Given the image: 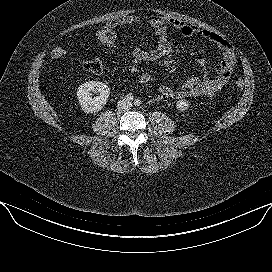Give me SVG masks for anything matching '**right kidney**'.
<instances>
[{
    "label": "right kidney",
    "instance_id": "1",
    "mask_svg": "<svg viewBox=\"0 0 272 272\" xmlns=\"http://www.w3.org/2000/svg\"><path fill=\"white\" fill-rule=\"evenodd\" d=\"M92 92L98 95L93 97ZM109 95V87L99 81L86 82L77 90L78 101L82 110L87 114L100 111L107 103Z\"/></svg>",
    "mask_w": 272,
    "mask_h": 272
}]
</instances>
